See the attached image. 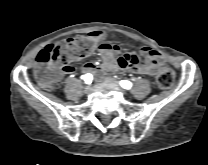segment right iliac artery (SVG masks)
Masks as SVG:
<instances>
[{
	"instance_id": "82829eb1",
	"label": "right iliac artery",
	"mask_w": 208,
	"mask_h": 165,
	"mask_svg": "<svg viewBox=\"0 0 208 165\" xmlns=\"http://www.w3.org/2000/svg\"><path fill=\"white\" fill-rule=\"evenodd\" d=\"M82 78L84 79L85 83L91 84L93 77L91 74L83 75Z\"/></svg>"
}]
</instances>
